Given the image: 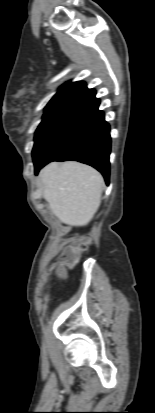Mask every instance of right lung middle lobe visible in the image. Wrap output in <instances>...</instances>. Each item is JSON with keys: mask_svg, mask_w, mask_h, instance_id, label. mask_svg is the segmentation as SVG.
<instances>
[{"mask_svg": "<svg viewBox=\"0 0 155 413\" xmlns=\"http://www.w3.org/2000/svg\"><path fill=\"white\" fill-rule=\"evenodd\" d=\"M77 110L78 106L65 107L43 116L34 138L32 152L34 165L43 161L57 144Z\"/></svg>", "mask_w": 155, "mask_h": 413, "instance_id": "obj_1", "label": "right lung middle lobe"}]
</instances>
